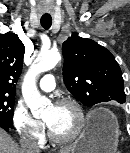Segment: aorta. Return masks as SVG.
<instances>
[{
	"label": "aorta",
	"mask_w": 130,
	"mask_h": 153,
	"mask_svg": "<svg viewBox=\"0 0 130 153\" xmlns=\"http://www.w3.org/2000/svg\"><path fill=\"white\" fill-rule=\"evenodd\" d=\"M60 60L61 56L58 52L43 53L36 58L24 77L22 95L33 116H39L51 105V101L39 93L36 86V77L40 73L53 69Z\"/></svg>",
	"instance_id": "obj_1"
}]
</instances>
